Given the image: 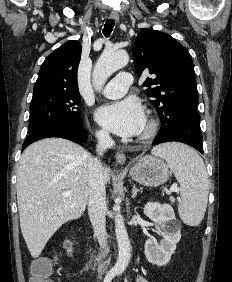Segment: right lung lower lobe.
Listing matches in <instances>:
<instances>
[{
	"mask_svg": "<svg viewBox=\"0 0 232 282\" xmlns=\"http://www.w3.org/2000/svg\"><path fill=\"white\" fill-rule=\"evenodd\" d=\"M48 137H60L71 140L75 143H83L87 140V132L82 128V126H76L68 123H56L29 133L22 145V151L29 144Z\"/></svg>",
	"mask_w": 232,
	"mask_h": 282,
	"instance_id": "1",
	"label": "right lung lower lobe"
}]
</instances>
